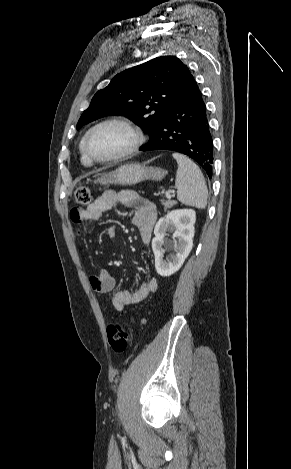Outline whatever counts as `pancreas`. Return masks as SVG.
Listing matches in <instances>:
<instances>
[{
    "instance_id": "pancreas-1",
    "label": "pancreas",
    "mask_w": 291,
    "mask_h": 469,
    "mask_svg": "<svg viewBox=\"0 0 291 469\" xmlns=\"http://www.w3.org/2000/svg\"><path fill=\"white\" fill-rule=\"evenodd\" d=\"M162 204L164 205V209L166 210V209L172 208L176 204V201L167 200V201H163Z\"/></svg>"
}]
</instances>
